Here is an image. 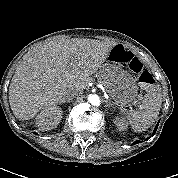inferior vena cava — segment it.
<instances>
[{
	"label": "inferior vena cava",
	"instance_id": "obj_1",
	"mask_svg": "<svg viewBox=\"0 0 178 178\" xmlns=\"http://www.w3.org/2000/svg\"><path fill=\"white\" fill-rule=\"evenodd\" d=\"M82 94V91L77 90V89H73L69 95H67V98H72L74 96L80 95Z\"/></svg>",
	"mask_w": 178,
	"mask_h": 178
}]
</instances>
